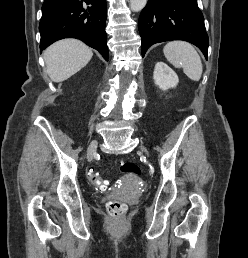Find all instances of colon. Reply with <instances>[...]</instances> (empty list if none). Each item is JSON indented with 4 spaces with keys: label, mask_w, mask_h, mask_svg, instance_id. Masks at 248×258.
<instances>
[{
    "label": "colon",
    "mask_w": 248,
    "mask_h": 258,
    "mask_svg": "<svg viewBox=\"0 0 248 258\" xmlns=\"http://www.w3.org/2000/svg\"><path fill=\"white\" fill-rule=\"evenodd\" d=\"M121 171L126 174L139 177L141 175V168L133 162H125L121 164ZM89 179L94 186L100 190H105L108 186V181L103 179L98 172H91ZM107 209L110 215L114 218H121L126 211V205L117 200H110L107 203Z\"/></svg>",
    "instance_id": "5ec220e1"
}]
</instances>
